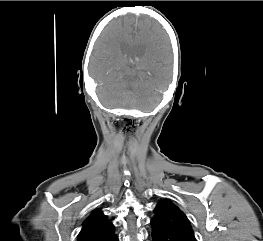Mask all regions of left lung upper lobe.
I'll use <instances>...</instances> for the list:
<instances>
[{"mask_svg": "<svg viewBox=\"0 0 263 241\" xmlns=\"http://www.w3.org/2000/svg\"><path fill=\"white\" fill-rule=\"evenodd\" d=\"M155 220L173 231L181 234L191 241H196L195 236L186 215L169 200H161L154 208Z\"/></svg>", "mask_w": 263, "mask_h": 241, "instance_id": "left-lung-upper-lobe-1", "label": "left lung upper lobe"}]
</instances>
